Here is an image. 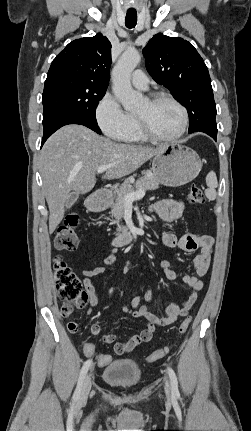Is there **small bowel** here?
Wrapping results in <instances>:
<instances>
[{
    "instance_id": "c3829d8e",
    "label": "small bowel",
    "mask_w": 251,
    "mask_h": 431,
    "mask_svg": "<svg viewBox=\"0 0 251 431\" xmlns=\"http://www.w3.org/2000/svg\"><path fill=\"white\" fill-rule=\"evenodd\" d=\"M184 210V202L177 199H162L151 206V211L154 212L159 219L166 222H173L180 219L183 216ZM160 237L162 243L167 248H179L186 252H198L193 259L194 275L185 274L182 276V281L190 288L189 296L182 305L170 304L163 313H158L152 311L150 307L152 293L151 289L147 287L143 297L135 296L129 305L124 304V312L135 318H144L146 320V327L139 334L133 335L122 342H116L117 336L113 333L103 335L101 337L102 342L106 344L114 343V351L118 355L131 352L140 344L149 342L157 328L172 324L178 317L186 316L196 302L198 292L203 287V278L207 273L212 257L213 238L201 233H185L177 236L174 233L165 231L161 233ZM115 260L116 254L112 253L103 259L100 266L91 269H83L81 271L83 276L82 283L85 287L90 306L87 315H90L93 307L99 303L98 288L92 279L107 272L108 268ZM160 266L167 279L173 281L178 278L177 273L171 269L168 260H162ZM69 331L75 333L77 328L74 330L69 329ZM90 331L93 336L100 335L101 323L99 320H95L91 324ZM95 350L97 351V349Z\"/></svg>"
}]
</instances>
